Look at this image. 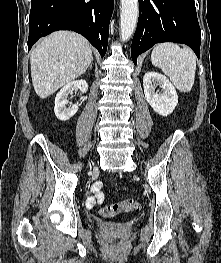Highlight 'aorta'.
Wrapping results in <instances>:
<instances>
[{
  "instance_id": "1",
  "label": "aorta",
  "mask_w": 221,
  "mask_h": 263,
  "mask_svg": "<svg viewBox=\"0 0 221 263\" xmlns=\"http://www.w3.org/2000/svg\"><path fill=\"white\" fill-rule=\"evenodd\" d=\"M120 39L125 42L133 35L138 19V0H120Z\"/></svg>"
}]
</instances>
